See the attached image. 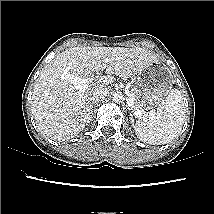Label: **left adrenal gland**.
<instances>
[{"mask_svg": "<svg viewBox=\"0 0 214 214\" xmlns=\"http://www.w3.org/2000/svg\"><path fill=\"white\" fill-rule=\"evenodd\" d=\"M129 113H130V118L132 120V114H131V109L128 107Z\"/></svg>", "mask_w": 214, "mask_h": 214, "instance_id": "obj_1", "label": "left adrenal gland"}]
</instances>
